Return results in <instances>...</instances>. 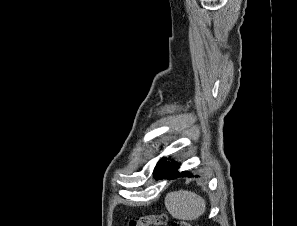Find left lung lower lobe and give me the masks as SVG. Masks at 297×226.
Returning <instances> with one entry per match:
<instances>
[{
	"label": "left lung lower lobe",
	"instance_id": "obj_1",
	"mask_svg": "<svg viewBox=\"0 0 297 226\" xmlns=\"http://www.w3.org/2000/svg\"><path fill=\"white\" fill-rule=\"evenodd\" d=\"M179 169V164L178 162H168L166 161V158H162L158 164L156 165L154 169V178L156 180L158 179H163V178H168V179H173L178 176H189L191 177L192 175L189 174V172H178Z\"/></svg>",
	"mask_w": 297,
	"mask_h": 226
}]
</instances>
